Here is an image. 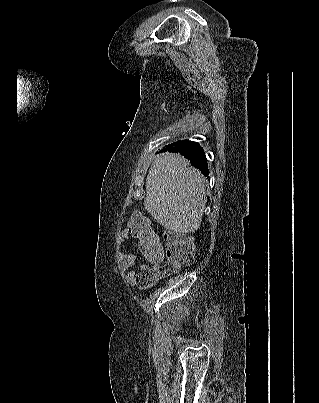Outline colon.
Segmentation results:
<instances>
[{
  "label": "colon",
  "mask_w": 319,
  "mask_h": 403,
  "mask_svg": "<svg viewBox=\"0 0 319 403\" xmlns=\"http://www.w3.org/2000/svg\"><path fill=\"white\" fill-rule=\"evenodd\" d=\"M129 229L139 240L144 256L153 265V269L142 271L137 276V284L141 289L153 286L162 275L178 272L182 267L193 263L195 245L185 233L168 231L163 234V241L152 231L149 219L144 214L133 215L129 221ZM165 261L163 268L159 263Z\"/></svg>",
  "instance_id": "1"
}]
</instances>
